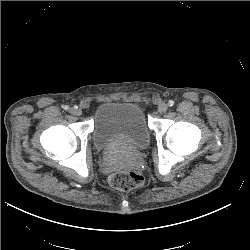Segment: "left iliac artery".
I'll use <instances>...</instances> for the list:
<instances>
[{
  "mask_svg": "<svg viewBox=\"0 0 250 250\" xmlns=\"http://www.w3.org/2000/svg\"><path fill=\"white\" fill-rule=\"evenodd\" d=\"M174 101L173 100H169V102H168V105L170 106V107H172L173 105H174Z\"/></svg>",
  "mask_w": 250,
  "mask_h": 250,
  "instance_id": "obj_1",
  "label": "left iliac artery"
}]
</instances>
